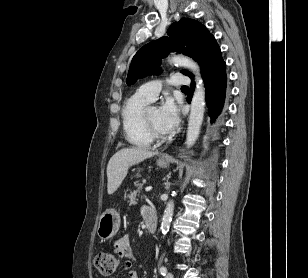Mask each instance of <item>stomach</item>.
I'll return each instance as SVG.
<instances>
[{"mask_svg": "<svg viewBox=\"0 0 308 278\" xmlns=\"http://www.w3.org/2000/svg\"><path fill=\"white\" fill-rule=\"evenodd\" d=\"M157 165L161 168H166L169 165V161L159 159ZM120 227V215L115 210H106L99 219L97 235L102 240H108L112 238L119 230Z\"/></svg>", "mask_w": 308, "mask_h": 278, "instance_id": "1", "label": "stomach"}]
</instances>
